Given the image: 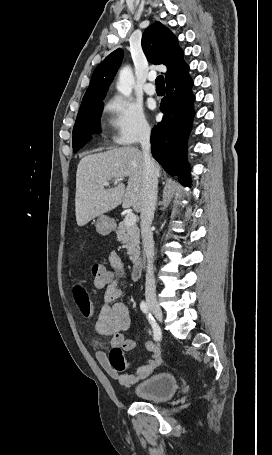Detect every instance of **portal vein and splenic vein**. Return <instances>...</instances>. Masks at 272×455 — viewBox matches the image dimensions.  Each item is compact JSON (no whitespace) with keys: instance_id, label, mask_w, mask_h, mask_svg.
Segmentation results:
<instances>
[{"instance_id":"portal-vein-and-splenic-vein-1","label":"portal vein and splenic vein","mask_w":272,"mask_h":455,"mask_svg":"<svg viewBox=\"0 0 272 455\" xmlns=\"http://www.w3.org/2000/svg\"><path fill=\"white\" fill-rule=\"evenodd\" d=\"M117 181H114V184H117ZM104 186H109V181L104 182ZM124 222L127 226H133L136 223V215L134 213H128L125 216Z\"/></svg>"}]
</instances>
